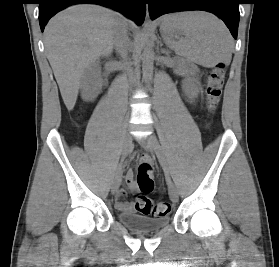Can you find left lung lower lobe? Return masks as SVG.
<instances>
[{
  "label": "left lung lower lobe",
  "mask_w": 279,
  "mask_h": 267,
  "mask_svg": "<svg viewBox=\"0 0 279 267\" xmlns=\"http://www.w3.org/2000/svg\"><path fill=\"white\" fill-rule=\"evenodd\" d=\"M239 0H149V14L155 19L163 14L185 11L203 10L219 16L237 39L240 19Z\"/></svg>",
  "instance_id": "obj_1"
}]
</instances>
